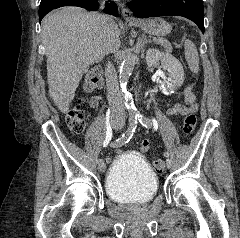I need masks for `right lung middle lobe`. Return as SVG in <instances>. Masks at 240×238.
<instances>
[{"label": "right lung middle lobe", "instance_id": "dd1d6c3e", "mask_svg": "<svg viewBox=\"0 0 240 238\" xmlns=\"http://www.w3.org/2000/svg\"><path fill=\"white\" fill-rule=\"evenodd\" d=\"M55 0H41L40 6H39V12L46 9L48 5H50Z\"/></svg>", "mask_w": 240, "mask_h": 238}]
</instances>
